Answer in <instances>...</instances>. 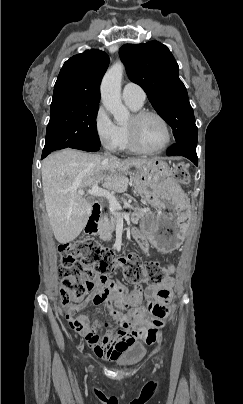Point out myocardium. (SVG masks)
<instances>
[{
  "label": "myocardium",
  "mask_w": 243,
  "mask_h": 404,
  "mask_svg": "<svg viewBox=\"0 0 243 404\" xmlns=\"http://www.w3.org/2000/svg\"><path fill=\"white\" fill-rule=\"evenodd\" d=\"M148 115H155V116H157L158 118H160L163 121V123H164V125H165V127L167 129V141L165 142L164 145H162L161 147L156 148V149L148 148L145 145H143L141 143V141L138 139V137H137V135L135 133V129H134L133 125H128L127 124L126 125V131H127V134L129 136V139H130L131 143L138 150H140L141 152H144V153H160V152L166 150L170 146V144L172 143V139H173L172 126H171L170 122L168 121V119L161 112H159L157 110H154V109H149V108H144V109H140V110L136 111L132 116L133 122L134 123L138 122L139 120H141L142 118H144V117H146Z\"/></svg>",
  "instance_id": "myocardium-1"
}]
</instances>
